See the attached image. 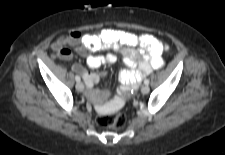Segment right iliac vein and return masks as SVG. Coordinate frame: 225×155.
<instances>
[{"label": "right iliac vein", "mask_w": 225, "mask_h": 155, "mask_svg": "<svg viewBox=\"0 0 225 155\" xmlns=\"http://www.w3.org/2000/svg\"><path fill=\"white\" fill-rule=\"evenodd\" d=\"M83 89H84V84L82 83V82H77V84H76V90L77 91H83Z\"/></svg>", "instance_id": "1"}]
</instances>
